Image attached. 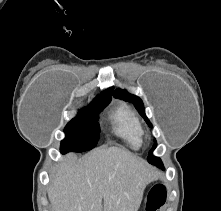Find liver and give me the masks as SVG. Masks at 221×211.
Segmentation results:
<instances>
[{"label":"liver","mask_w":221,"mask_h":211,"mask_svg":"<svg viewBox=\"0 0 221 211\" xmlns=\"http://www.w3.org/2000/svg\"><path fill=\"white\" fill-rule=\"evenodd\" d=\"M158 174L145 160L118 147H100L77 159L69 154L51 177L53 211H137Z\"/></svg>","instance_id":"obj_1"}]
</instances>
